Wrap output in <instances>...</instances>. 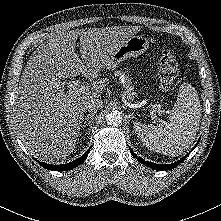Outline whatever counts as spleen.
<instances>
[{
	"instance_id": "3e777b00",
	"label": "spleen",
	"mask_w": 221,
	"mask_h": 221,
	"mask_svg": "<svg viewBox=\"0 0 221 221\" xmlns=\"http://www.w3.org/2000/svg\"><path fill=\"white\" fill-rule=\"evenodd\" d=\"M201 105L195 88L184 83L179 88L169 121L153 127L136 123L135 132L150 150L170 156L182 154L193 143L199 129Z\"/></svg>"
}]
</instances>
